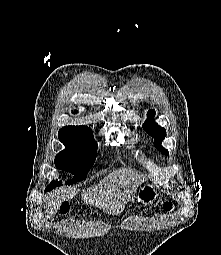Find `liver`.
Wrapping results in <instances>:
<instances>
[{
    "label": "liver",
    "instance_id": "6515ba94",
    "mask_svg": "<svg viewBox=\"0 0 221 255\" xmlns=\"http://www.w3.org/2000/svg\"><path fill=\"white\" fill-rule=\"evenodd\" d=\"M142 182L134 171L120 168L109 173L98 185L82 190V200L86 205L95 206L104 212L119 214L125 204L134 200L137 186ZM77 193L76 189H59L49 193L44 206L46 219L55 215L62 203Z\"/></svg>",
    "mask_w": 221,
    "mask_h": 255
}]
</instances>
